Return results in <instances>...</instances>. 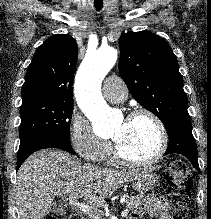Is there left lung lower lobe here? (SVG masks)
Returning a JSON list of instances; mask_svg holds the SVG:
<instances>
[{
    "mask_svg": "<svg viewBox=\"0 0 211 219\" xmlns=\"http://www.w3.org/2000/svg\"><path fill=\"white\" fill-rule=\"evenodd\" d=\"M169 144L164 155L178 153L184 155L200 171L196 141L191 131V121L180 122L168 130Z\"/></svg>",
    "mask_w": 211,
    "mask_h": 219,
    "instance_id": "left-lung-lower-lobe-1",
    "label": "left lung lower lobe"
}]
</instances>
